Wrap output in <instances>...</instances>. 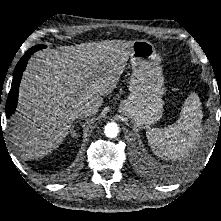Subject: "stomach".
<instances>
[{
    "label": "stomach",
    "instance_id": "stomach-1",
    "mask_svg": "<svg viewBox=\"0 0 221 221\" xmlns=\"http://www.w3.org/2000/svg\"><path fill=\"white\" fill-rule=\"evenodd\" d=\"M130 63V95L122 101L118 112L131 119L136 127H148L163 114L165 87L161 58L152 43L136 40L132 45Z\"/></svg>",
    "mask_w": 221,
    "mask_h": 221
}]
</instances>
